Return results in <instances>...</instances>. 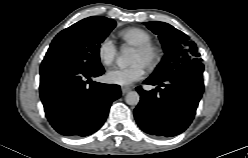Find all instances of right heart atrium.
Here are the masks:
<instances>
[{"mask_svg":"<svg viewBox=\"0 0 248 158\" xmlns=\"http://www.w3.org/2000/svg\"><path fill=\"white\" fill-rule=\"evenodd\" d=\"M97 54L103 65L110 66L116 59L117 48L109 37H105L98 44Z\"/></svg>","mask_w":248,"mask_h":158,"instance_id":"d8ad5b80","label":"right heart atrium"}]
</instances>
